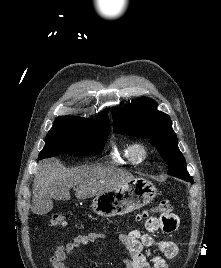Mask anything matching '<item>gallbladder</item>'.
<instances>
[{"label": "gallbladder", "mask_w": 221, "mask_h": 268, "mask_svg": "<svg viewBox=\"0 0 221 268\" xmlns=\"http://www.w3.org/2000/svg\"><path fill=\"white\" fill-rule=\"evenodd\" d=\"M53 207V202L50 199H36L31 205V210H34V213H38V216H43V213H49Z\"/></svg>", "instance_id": "1"}]
</instances>
